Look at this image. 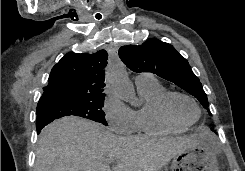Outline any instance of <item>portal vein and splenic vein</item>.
<instances>
[{
	"label": "portal vein and splenic vein",
	"instance_id": "18ae733b",
	"mask_svg": "<svg viewBox=\"0 0 245 171\" xmlns=\"http://www.w3.org/2000/svg\"><path fill=\"white\" fill-rule=\"evenodd\" d=\"M109 163L113 162L112 160H108Z\"/></svg>",
	"mask_w": 245,
	"mask_h": 171
}]
</instances>
